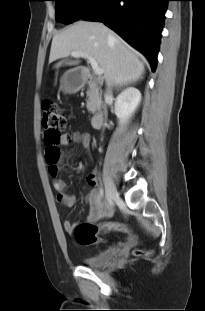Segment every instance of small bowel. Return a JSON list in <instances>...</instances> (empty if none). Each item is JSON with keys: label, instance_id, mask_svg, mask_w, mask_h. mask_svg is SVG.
<instances>
[{"label": "small bowel", "instance_id": "small-bowel-1", "mask_svg": "<svg viewBox=\"0 0 205 311\" xmlns=\"http://www.w3.org/2000/svg\"><path fill=\"white\" fill-rule=\"evenodd\" d=\"M71 142L81 144L84 148L88 149L91 144V136L90 134L84 132H71L63 137L60 145L64 146ZM49 171L50 174L55 177L54 188L57 192V199L63 205L67 207H72L76 203V198L75 196L68 194L66 192L67 190L66 183L63 180L56 177L58 172V166L57 165L49 166ZM87 182L89 185L93 186V189L89 192L86 198L90 208L87 221L96 222L105 215L106 209L104 203L100 200L97 189L95 188L97 183L95 172H91L87 176ZM76 225H77L76 223H72L71 221L68 220L65 221L63 224L64 230L68 233H72Z\"/></svg>", "mask_w": 205, "mask_h": 311}]
</instances>
